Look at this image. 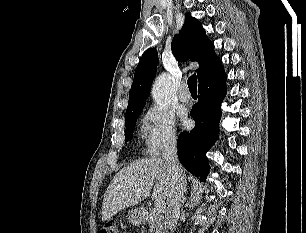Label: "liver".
<instances>
[{
	"label": "liver",
	"instance_id": "1",
	"mask_svg": "<svg viewBox=\"0 0 306 233\" xmlns=\"http://www.w3.org/2000/svg\"><path fill=\"white\" fill-rule=\"evenodd\" d=\"M155 180L152 198L166 199L171 187V171L160 158L138 160L120 170L105 192L102 221L147 198Z\"/></svg>",
	"mask_w": 306,
	"mask_h": 233
}]
</instances>
